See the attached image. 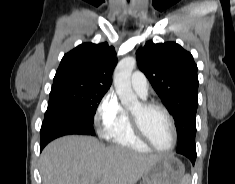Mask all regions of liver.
<instances>
[{
    "label": "liver",
    "mask_w": 235,
    "mask_h": 184,
    "mask_svg": "<svg viewBox=\"0 0 235 184\" xmlns=\"http://www.w3.org/2000/svg\"><path fill=\"white\" fill-rule=\"evenodd\" d=\"M160 158L128 148L104 146L93 136H64L40 158L43 184H136Z\"/></svg>",
    "instance_id": "liver-1"
}]
</instances>
